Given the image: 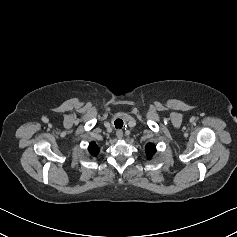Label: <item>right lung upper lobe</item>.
I'll list each match as a JSON object with an SVG mask.
<instances>
[{
  "label": "right lung upper lobe",
  "mask_w": 237,
  "mask_h": 237,
  "mask_svg": "<svg viewBox=\"0 0 237 237\" xmlns=\"http://www.w3.org/2000/svg\"><path fill=\"white\" fill-rule=\"evenodd\" d=\"M88 151L92 156H96L99 153V147L95 142H91L89 144Z\"/></svg>",
  "instance_id": "cb5924a9"
}]
</instances>
